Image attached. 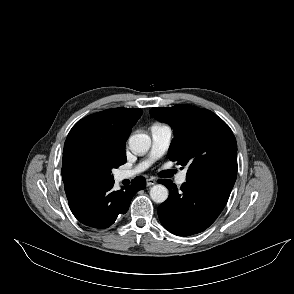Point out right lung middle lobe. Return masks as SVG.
<instances>
[{
    "mask_svg": "<svg viewBox=\"0 0 294 294\" xmlns=\"http://www.w3.org/2000/svg\"><path fill=\"white\" fill-rule=\"evenodd\" d=\"M126 162V152L105 147H79L63 160V181L70 186H91L113 180L112 168Z\"/></svg>",
    "mask_w": 294,
    "mask_h": 294,
    "instance_id": "obj_1",
    "label": "right lung middle lobe"
}]
</instances>
